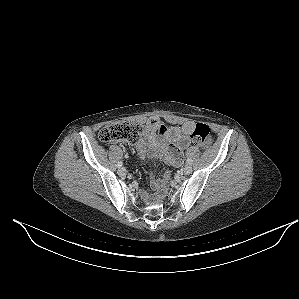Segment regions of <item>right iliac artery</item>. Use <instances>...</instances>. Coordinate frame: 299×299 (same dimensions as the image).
I'll list each match as a JSON object with an SVG mask.
<instances>
[{
	"instance_id": "82829eb1",
	"label": "right iliac artery",
	"mask_w": 299,
	"mask_h": 299,
	"mask_svg": "<svg viewBox=\"0 0 299 299\" xmlns=\"http://www.w3.org/2000/svg\"><path fill=\"white\" fill-rule=\"evenodd\" d=\"M122 165H123L122 161H120V162L117 163V167H121Z\"/></svg>"
}]
</instances>
